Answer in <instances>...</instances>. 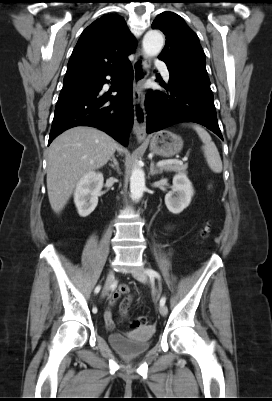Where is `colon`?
<instances>
[{
    "label": "colon",
    "instance_id": "1",
    "mask_svg": "<svg viewBox=\"0 0 272 401\" xmlns=\"http://www.w3.org/2000/svg\"><path fill=\"white\" fill-rule=\"evenodd\" d=\"M207 235H208V228H205L202 232V236L206 237ZM121 289H123V287H121ZM149 323H150V321L147 317L140 316L130 322V327L131 328H139L142 326H148Z\"/></svg>",
    "mask_w": 272,
    "mask_h": 401
}]
</instances>
